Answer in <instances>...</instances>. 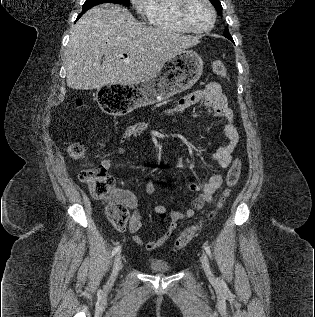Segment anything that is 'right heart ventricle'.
I'll return each mask as SVG.
<instances>
[{
    "label": "right heart ventricle",
    "instance_id": "e07e8e85",
    "mask_svg": "<svg viewBox=\"0 0 315 317\" xmlns=\"http://www.w3.org/2000/svg\"><path fill=\"white\" fill-rule=\"evenodd\" d=\"M178 0H152L149 10L146 13V19L150 26L178 33H187L177 20L176 4Z\"/></svg>",
    "mask_w": 315,
    "mask_h": 317
}]
</instances>
